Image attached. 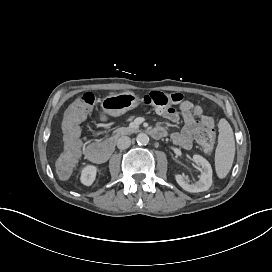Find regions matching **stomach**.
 Instances as JSON below:
<instances>
[{
	"instance_id": "1",
	"label": "stomach",
	"mask_w": 272,
	"mask_h": 272,
	"mask_svg": "<svg viewBox=\"0 0 272 272\" xmlns=\"http://www.w3.org/2000/svg\"><path fill=\"white\" fill-rule=\"evenodd\" d=\"M139 103L140 99L133 92L127 91L105 97L101 106L109 115L120 116L137 107Z\"/></svg>"
}]
</instances>
